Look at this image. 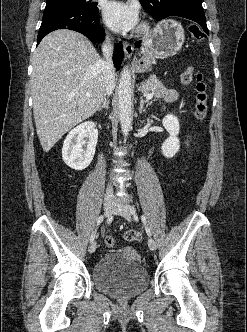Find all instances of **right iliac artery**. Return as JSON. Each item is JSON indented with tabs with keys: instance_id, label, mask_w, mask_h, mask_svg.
<instances>
[{
	"instance_id": "obj_1",
	"label": "right iliac artery",
	"mask_w": 247,
	"mask_h": 332,
	"mask_svg": "<svg viewBox=\"0 0 247 332\" xmlns=\"http://www.w3.org/2000/svg\"><path fill=\"white\" fill-rule=\"evenodd\" d=\"M104 217L101 215L98 220H97V227L102 223ZM96 236V230L92 233L91 237H90V242H93Z\"/></svg>"
}]
</instances>
